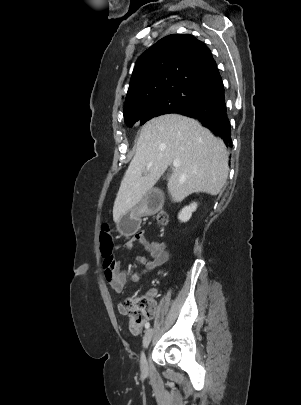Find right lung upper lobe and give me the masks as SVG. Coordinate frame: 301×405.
Returning <instances> with one entry per match:
<instances>
[{"mask_svg":"<svg viewBox=\"0 0 301 405\" xmlns=\"http://www.w3.org/2000/svg\"><path fill=\"white\" fill-rule=\"evenodd\" d=\"M223 85L209 48L190 34H172L159 40L138 59L130 79L124 114L151 95L193 88L208 94Z\"/></svg>","mask_w":301,"mask_h":405,"instance_id":"obj_1","label":"right lung upper lobe"}]
</instances>
